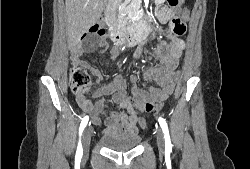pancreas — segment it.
<instances>
[{
	"instance_id": "1",
	"label": "pancreas",
	"mask_w": 250,
	"mask_h": 169,
	"mask_svg": "<svg viewBox=\"0 0 250 169\" xmlns=\"http://www.w3.org/2000/svg\"><path fill=\"white\" fill-rule=\"evenodd\" d=\"M135 0H124L122 6H127V8H132Z\"/></svg>"
}]
</instances>
